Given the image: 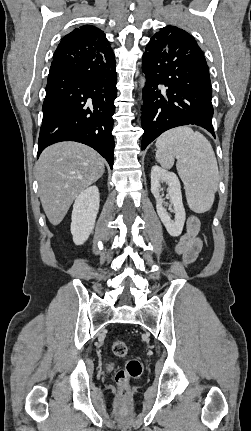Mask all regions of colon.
Segmentation results:
<instances>
[{
    "mask_svg": "<svg viewBox=\"0 0 251 431\" xmlns=\"http://www.w3.org/2000/svg\"><path fill=\"white\" fill-rule=\"evenodd\" d=\"M111 349L114 355L120 358L125 357L128 352L126 343L121 339H115L112 342ZM141 373L142 364L137 358L129 359L125 366L116 372L115 382L122 397L127 395L130 381L138 378Z\"/></svg>",
    "mask_w": 251,
    "mask_h": 431,
    "instance_id": "1",
    "label": "colon"
}]
</instances>
